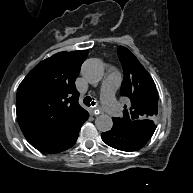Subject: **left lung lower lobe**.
I'll return each mask as SVG.
<instances>
[{
    "instance_id": "left-lung-lower-lobe-1",
    "label": "left lung lower lobe",
    "mask_w": 193,
    "mask_h": 193,
    "mask_svg": "<svg viewBox=\"0 0 193 193\" xmlns=\"http://www.w3.org/2000/svg\"><path fill=\"white\" fill-rule=\"evenodd\" d=\"M156 126L153 122L120 124L114 122L113 128L101 134L102 140L109 146L122 151H136L142 148L153 135Z\"/></svg>"
}]
</instances>
